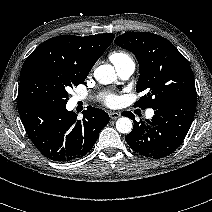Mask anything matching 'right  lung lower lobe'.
Returning a JSON list of instances; mask_svg holds the SVG:
<instances>
[{
  "label": "right lung lower lobe",
  "instance_id": "obj_1",
  "mask_svg": "<svg viewBox=\"0 0 212 212\" xmlns=\"http://www.w3.org/2000/svg\"><path fill=\"white\" fill-rule=\"evenodd\" d=\"M18 111L32 143L45 157L58 162L85 156L94 146L109 115L88 107L77 119L66 104L42 100H18Z\"/></svg>",
  "mask_w": 212,
  "mask_h": 212
}]
</instances>
